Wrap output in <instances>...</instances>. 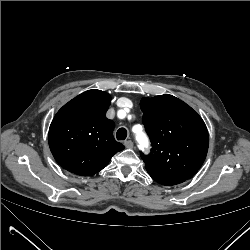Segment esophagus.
Wrapping results in <instances>:
<instances>
[{
    "label": "esophagus",
    "mask_w": 250,
    "mask_h": 250,
    "mask_svg": "<svg viewBox=\"0 0 250 250\" xmlns=\"http://www.w3.org/2000/svg\"><path fill=\"white\" fill-rule=\"evenodd\" d=\"M124 145L126 148L130 149V148H133V142L131 140H126L124 142Z\"/></svg>",
    "instance_id": "34e87169"
}]
</instances>
